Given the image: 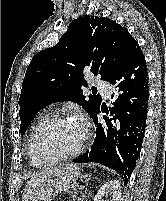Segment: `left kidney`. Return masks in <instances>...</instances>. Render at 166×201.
Returning a JSON list of instances; mask_svg holds the SVG:
<instances>
[{
  "mask_svg": "<svg viewBox=\"0 0 166 201\" xmlns=\"http://www.w3.org/2000/svg\"><path fill=\"white\" fill-rule=\"evenodd\" d=\"M121 188L117 180H110L106 182L98 191L94 201H104V196L112 195L110 201H121Z\"/></svg>",
  "mask_w": 166,
  "mask_h": 201,
  "instance_id": "left-kidney-1",
  "label": "left kidney"
}]
</instances>
